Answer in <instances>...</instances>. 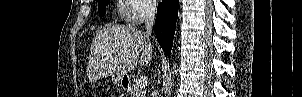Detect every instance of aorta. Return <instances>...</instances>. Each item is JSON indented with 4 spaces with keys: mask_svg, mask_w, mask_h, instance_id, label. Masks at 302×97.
I'll list each match as a JSON object with an SVG mask.
<instances>
[{
    "mask_svg": "<svg viewBox=\"0 0 302 97\" xmlns=\"http://www.w3.org/2000/svg\"><path fill=\"white\" fill-rule=\"evenodd\" d=\"M175 67H176V63H174V65H173V76H174V74H177Z\"/></svg>",
    "mask_w": 302,
    "mask_h": 97,
    "instance_id": "aorta-1",
    "label": "aorta"
}]
</instances>
